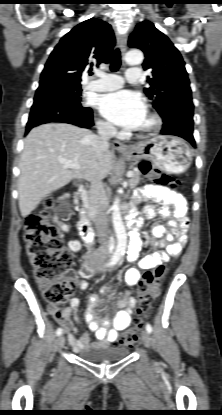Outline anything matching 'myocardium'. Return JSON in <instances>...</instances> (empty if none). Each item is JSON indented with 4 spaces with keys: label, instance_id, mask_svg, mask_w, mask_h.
Here are the masks:
<instances>
[{
    "label": "myocardium",
    "instance_id": "f54148a6",
    "mask_svg": "<svg viewBox=\"0 0 222 415\" xmlns=\"http://www.w3.org/2000/svg\"><path fill=\"white\" fill-rule=\"evenodd\" d=\"M146 117L148 119V124L142 128L137 129V134L140 137H149L154 135L162 126L161 117L151 111L146 112Z\"/></svg>",
    "mask_w": 222,
    "mask_h": 415
}]
</instances>
